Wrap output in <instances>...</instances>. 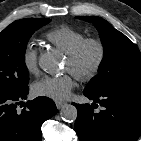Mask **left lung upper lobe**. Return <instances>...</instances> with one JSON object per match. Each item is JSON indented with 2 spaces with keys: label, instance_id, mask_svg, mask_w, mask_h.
Masks as SVG:
<instances>
[{
  "label": "left lung upper lobe",
  "instance_id": "left-lung-upper-lobe-1",
  "mask_svg": "<svg viewBox=\"0 0 141 141\" xmlns=\"http://www.w3.org/2000/svg\"><path fill=\"white\" fill-rule=\"evenodd\" d=\"M77 18L95 25L104 47L99 74L88 83L85 91L101 93L115 87L141 89V54L136 45L100 17Z\"/></svg>",
  "mask_w": 141,
  "mask_h": 141
}]
</instances>
